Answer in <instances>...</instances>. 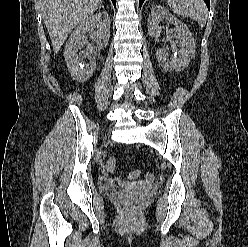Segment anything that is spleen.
Returning <instances> with one entry per match:
<instances>
[{"label":"spleen","mask_w":248,"mask_h":247,"mask_svg":"<svg viewBox=\"0 0 248 247\" xmlns=\"http://www.w3.org/2000/svg\"><path fill=\"white\" fill-rule=\"evenodd\" d=\"M172 11L178 15L191 17L204 27L207 20V9L203 0H167Z\"/></svg>","instance_id":"spleen-1"}]
</instances>
